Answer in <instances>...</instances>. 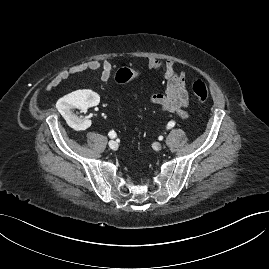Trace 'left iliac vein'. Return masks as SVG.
<instances>
[{
	"mask_svg": "<svg viewBox=\"0 0 269 269\" xmlns=\"http://www.w3.org/2000/svg\"><path fill=\"white\" fill-rule=\"evenodd\" d=\"M162 148V145L161 144H155V149L160 151Z\"/></svg>",
	"mask_w": 269,
	"mask_h": 269,
	"instance_id": "left-iliac-vein-1",
	"label": "left iliac vein"
}]
</instances>
